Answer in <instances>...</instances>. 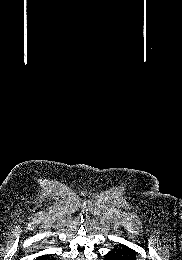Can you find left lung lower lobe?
I'll use <instances>...</instances> for the list:
<instances>
[{
    "instance_id": "left-lung-lower-lobe-1",
    "label": "left lung lower lobe",
    "mask_w": 182,
    "mask_h": 260,
    "mask_svg": "<svg viewBox=\"0 0 182 260\" xmlns=\"http://www.w3.org/2000/svg\"><path fill=\"white\" fill-rule=\"evenodd\" d=\"M105 260H136L135 251L127 246L113 249L105 256Z\"/></svg>"
}]
</instances>
